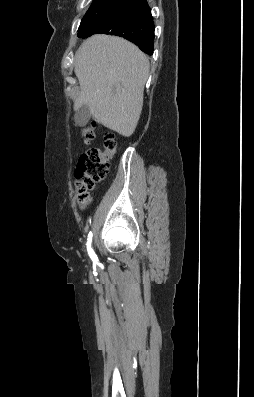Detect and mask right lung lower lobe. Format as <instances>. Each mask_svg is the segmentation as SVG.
I'll use <instances>...</instances> for the list:
<instances>
[{
	"label": "right lung lower lobe",
	"mask_w": 254,
	"mask_h": 397,
	"mask_svg": "<svg viewBox=\"0 0 254 397\" xmlns=\"http://www.w3.org/2000/svg\"><path fill=\"white\" fill-rule=\"evenodd\" d=\"M121 36L143 52L153 54L154 23L146 0H106L81 28L78 37L93 34Z\"/></svg>",
	"instance_id": "98d812e1"
}]
</instances>
